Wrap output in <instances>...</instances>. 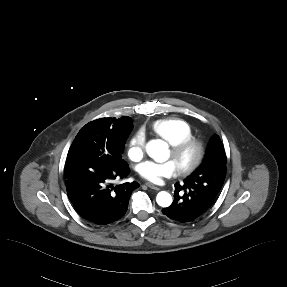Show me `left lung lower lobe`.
Returning a JSON list of instances; mask_svg holds the SVG:
<instances>
[{
  "mask_svg": "<svg viewBox=\"0 0 287 287\" xmlns=\"http://www.w3.org/2000/svg\"><path fill=\"white\" fill-rule=\"evenodd\" d=\"M181 190L184 191L183 196H179ZM174 197L173 203L169 207L163 208L162 212L169 218L180 222L195 220L205 213L214 202V200L179 183L175 184Z\"/></svg>",
  "mask_w": 287,
  "mask_h": 287,
  "instance_id": "0a47b994",
  "label": "left lung lower lobe"
}]
</instances>
